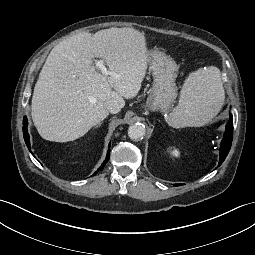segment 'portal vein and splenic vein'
Returning a JSON list of instances; mask_svg holds the SVG:
<instances>
[{
    "label": "portal vein and splenic vein",
    "instance_id": "18ae733b",
    "mask_svg": "<svg viewBox=\"0 0 255 255\" xmlns=\"http://www.w3.org/2000/svg\"><path fill=\"white\" fill-rule=\"evenodd\" d=\"M95 65H96L97 68H99L101 70V73L103 75L107 76V75H111L112 74L110 71L107 70V68L103 64V60L96 61Z\"/></svg>",
    "mask_w": 255,
    "mask_h": 255
}]
</instances>
